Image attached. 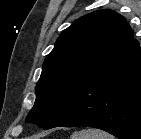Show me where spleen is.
Returning <instances> with one entry per match:
<instances>
[{"label": "spleen", "mask_w": 141, "mask_h": 139, "mask_svg": "<svg viewBox=\"0 0 141 139\" xmlns=\"http://www.w3.org/2000/svg\"><path fill=\"white\" fill-rule=\"evenodd\" d=\"M70 139H115L112 135L98 129H83L74 132Z\"/></svg>", "instance_id": "1"}]
</instances>
